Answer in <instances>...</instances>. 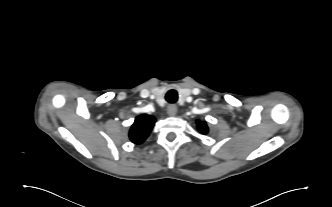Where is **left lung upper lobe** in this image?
Returning a JSON list of instances; mask_svg holds the SVG:
<instances>
[{"label": "left lung upper lobe", "mask_w": 332, "mask_h": 207, "mask_svg": "<svg viewBox=\"0 0 332 207\" xmlns=\"http://www.w3.org/2000/svg\"><path fill=\"white\" fill-rule=\"evenodd\" d=\"M197 129L202 134H206L208 132V127L205 122L197 121Z\"/></svg>", "instance_id": "5c2ea615"}]
</instances>
